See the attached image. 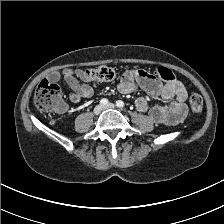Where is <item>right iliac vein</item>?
<instances>
[{"label":"right iliac vein","mask_w":224,"mask_h":224,"mask_svg":"<svg viewBox=\"0 0 224 224\" xmlns=\"http://www.w3.org/2000/svg\"><path fill=\"white\" fill-rule=\"evenodd\" d=\"M101 111H102V106H101V105H97V106L94 108L93 113H94L95 115H98V114L101 113Z\"/></svg>","instance_id":"63e3f726"}]
</instances>
